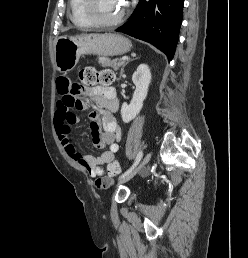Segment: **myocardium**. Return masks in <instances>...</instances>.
Segmentation results:
<instances>
[{"label": "myocardium", "instance_id": "obj_1", "mask_svg": "<svg viewBox=\"0 0 248 258\" xmlns=\"http://www.w3.org/2000/svg\"><path fill=\"white\" fill-rule=\"evenodd\" d=\"M95 0H83V12L86 16V18L90 21V23L94 26L99 27H112L120 24L126 15V7L124 6L122 13L113 20H101L96 17V15L93 12V5Z\"/></svg>", "mask_w": 248, "mask_h": 258}]
</instances>
